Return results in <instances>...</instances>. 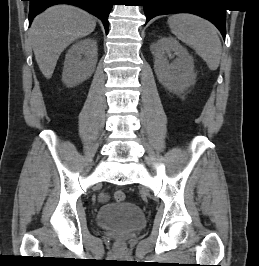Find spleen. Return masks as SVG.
<instances>
[{"label": "spleen", "instance_id": "3e777b00", "mask_svg": "<svg viewBox=\"0 0 259 266\" xmlns=\"http://www.w3.org/2000/svg\"><path fill=\"white\" fill-rule=\"evenodd\" d=\"M168 24L171 32L194 49L211 71L219 67L222 46L212 23L193 14L180 13L170 16Z\"/></svg>", "mask_w": 259, "mask_h": 266}]
</instances>
